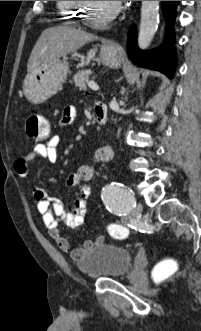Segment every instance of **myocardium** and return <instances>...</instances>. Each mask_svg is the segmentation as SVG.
Returning <instances> with one entry per match:
<instances>
[{"instance_id":"1","label":"myocardium","mask_w":201,"mask_h":331,"mask_svg":"<svg viewBox=\"0 0 201 331\" xmlns=\"http://www.w3.org/2000/svg\"><path fill=\"white\" fill-rule=\"evenodd\" d=\"M81 4H83L85 6V8L82 11V19L84 21V23H86L89 26H94V27H102L105 26L107 23H109L110 21H112L119 13L120 11V7L117 6L111 13H109L108 15H106L104 18L100 19V20H93L89 17L88 14V6H90V1H78Z\"/></svg>"}]
</instances>
